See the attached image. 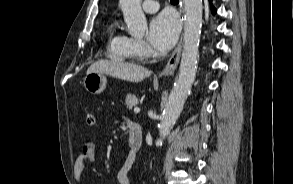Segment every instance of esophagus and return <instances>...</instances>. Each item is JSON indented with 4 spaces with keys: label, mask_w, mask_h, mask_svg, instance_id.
Returning <instances> with one entry per match:
<instances>
[{
    "label": "esophagus",
    "mask_w": 293,
    "mask_h": 184,
    "mask_svg": "<svg viewBox=\"0 0 293 184\" xmlns=\"http://www.w3.org/2000/svg\"><path fill=\"white\" fill-rule=\"evenodd\" d=\"M179 11H180L181 15H183V7H182L181 1H180ZM182 19H183V17H182ZM182 40H183V36H181L180 41H179L177 47L175 48L174 52L172 53L167 65L162 70V72L159 74L160 77L169 76V75L173 74L174 71L176 70L177 65L179 63V60H180Z\"/></svg>",
    "instance_id": "esophagus-1"
}]
</instances>
